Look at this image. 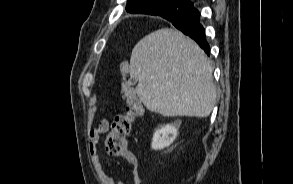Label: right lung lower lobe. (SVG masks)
<instances>
[{
  "mask_svg": "<svg viewBox=\"0 0 293 184\" xmlns=\"http://www.w3.org/2000/svg\"><path fill=\"white\" fill-rule=\"evenodd\" d=\"M200 13L190 6L175 12L165 19L169 20L176 28L195 40L198 45L210 55V47L205 38V30L200 24Z\"/></svg>",
  "mask_w": 293,
  "mask_h": 184,
  "instance_id": "98d812e1",
  "label": "right lung lower lobe"
}]
</instances>
